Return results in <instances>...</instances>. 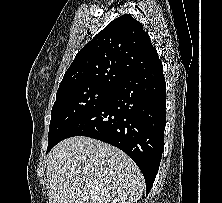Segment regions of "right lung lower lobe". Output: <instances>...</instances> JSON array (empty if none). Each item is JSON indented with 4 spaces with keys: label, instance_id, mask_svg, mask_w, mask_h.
<instances>
[{
    "label": "right lung lower lobe",
    "instance_id": "obj_1",
    "mask_svg": "<svg viewBox=\"0 0 222 203\" xmlns=\"http://www.w3.org/2000/svg\"><path fill=\"white\" fill-rule=\"evenodd\" d=\"M165 89L160 59L134 70L112 87L101 104L68 126L47 152L72 136H87L116 146L140 168L148 194L164 145Z\"/></svg>",
    "mask_w": 222,
    "mask_h": 203
}]
</instances>
